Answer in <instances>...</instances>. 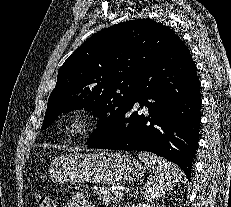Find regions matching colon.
<instances>
[{
  "mask_svg": "<svg viewBox=\"0 0 231 207\" xmlns=\"http://www.w3.org/2000/svg\"><path fill=\"white\" fill-rule=\"evenodd\" d=\"M39 207H54V202L52 200L51 197L49 196H42L39 199V203H38Z\"/></svg>",
  "mask_w": 231,
  "mask_h": 207,
  "instance_id": "obj_1",
  "label": "colon"
}]
</instances>
